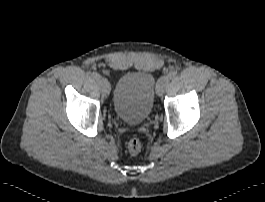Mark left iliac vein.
Masks as SVG:
<instances>
[{"instance_id": "left-iliac-vein-1", "label": "left iliac vein", "mask_w": 265, "mask_h": 202, "mask_svg": "<svg viewBox=\"0 0 265 202\" xmlns=\"http://www.w3.org/2000/svg\"><path fill=\"white\" fill-rule=\"evenodd\" d=\"M170 79L167 76H164L158 80L156 93L158 96L163 95V93L167 90L169 86Z\"/></svg>"}]
</instances>
